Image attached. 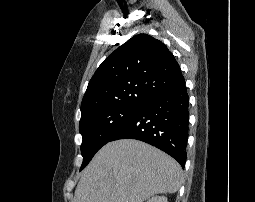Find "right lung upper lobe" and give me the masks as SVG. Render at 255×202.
<instances>
[{"instance_id":"right-lung-upper-lobe-1","label":"right lung upper lobe","mask_w":255,"mask_h":202,"mask_svg":"<svg viewBox=\"0 0 255 202\" xmlns=\"http://www.w3.org/2000/svg\"><path fill=\"white\" fill-rule=\"evenodd\" d=\"M183 84L180 66L167 47L150 35L138 34L98 67L83 97L81 117L108 107L141 106Z\"/></svg>"}]
</instances>
